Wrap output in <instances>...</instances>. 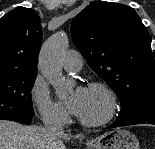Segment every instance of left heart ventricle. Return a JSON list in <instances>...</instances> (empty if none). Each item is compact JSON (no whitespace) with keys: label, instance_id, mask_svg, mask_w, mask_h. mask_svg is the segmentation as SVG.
Segmentation results:
<instances>
[{"label":"left heart ventricle","instance_id":"b2bd125f","mask_svg":"<svg viewBox=\"0 0 155 149\" xmlns=\"http://www.w3.org/2000/svg\"><path fill=\"white\" fill-rule=\"evenodd\" d=\"M106 111L107 102L105 97L101 93L88 88L79 116L87 120H96L103 117Z\"/></svg>","mask_w":155,"mask_h":149}]
</instances>
